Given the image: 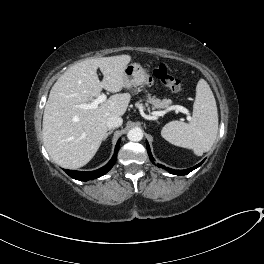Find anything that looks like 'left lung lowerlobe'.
<instances>
[{"label": "left lung lower lobe", "mask_w": 264, "mask_h": 264, "mask_svg": "<svg viewBox=\"0 0 264 264\" xmlns=\"http://www.w3.org/2000/svg\"><path fill=\"white\" fill-rule=\"evenodd\" d=\"M146 145H147V152L149 154V158H150L151 161H153L154 159H153V157L151 155V151H150V147H149L148 142H146ZM203 162H204V160L201 163L197 164L196 166H194L192 168H189V169H185V170H174V169L166 168L163 165H158V166L161 167V168H163V169H166L171 174H175V175H186V174L190 173L192 170L198 168Z\"/></svg>", "instance_id": "left-lung-lower-lobe-1"}]
</instances>
